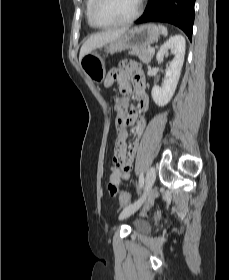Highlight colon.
Masks as SVG:
<instances>
[{
  "label": "colon",
  "instance_id": "5ec220e1",
  "mask_svg": "<svg viewBox=\"0 0 229 280\" xmlns=\"http://www.w3.org/2000/svg\"><path fill=\"white\" fill-rule=\"evenodd\" d=\"M125 102V101H123ZM129 124V118L126 114H118L115 119V127H116V135L117 139H120L126 135L127 126ZM115 166H120L122 164V161L117 159L113 161ZM108 190L111 195L119 194V200L121 204H128L129 203V196L126 192L118 190V187L112 183L108 182ZM142 215H145L144 213H141Z\"/></svg>",
  "mask_w": 229,
  "mask_h": 280
}]
</instances>
